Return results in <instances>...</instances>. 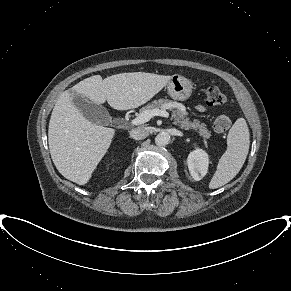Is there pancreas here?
<instances>
[{
  "mask_svg": "<svg viewBox=\"0 0 291 291\" xmlns=\"http://www.w3.org/2000/svg\"><path fill=\"white\" fill-rule=\"evenodd\" d=\"M154 109H170L172 111V115L175 118V124L179 125L181 129L189 130L194 129L197 130L199 135L204 138L210 137V132L206 128L204 123H201L198 120L190 121L188 118V113L182 109L181 105L174 102L169 101L168 99H159L158 101H154L145 107L140 109V114L145 111H151Z\"/></svg>",
  "mask_w": 291,
  "mask_h": 291,
  "instance_id": "obj_1",
  "label": "pancreas"
}]
</instances>
